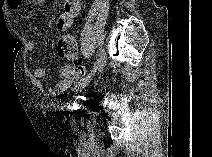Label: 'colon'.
Instances as JSON below:
<instances>
[{"instance_id":"colon-1","label":"colon","mask_w":212,"mask_h":157,"mask_svg":"<svg viewBox=\"0 0 212 157\" xmlns=\"http://www.w3.org/2000/svg\"><path fill=\"white\" fill-rule=\"evenodd\" d=\"M57 54L60 58L77 63L79 60L78 46L75 37L70 34H63L57 41ZM85 73V69L81 66L76 67V74L81 76Z\"/></svg>"}]
</instances>
